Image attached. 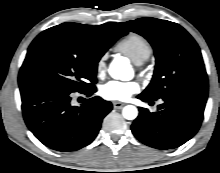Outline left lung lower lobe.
I'll use <instances>...</instances> for the list:
<instances>
[{
    "mask_svg": "<svg viewBox=\"0 0 220 173\" xmlns=\"http://www.w3.org/2000/svg\"><path fill=\"white\" fill-rule=\"evenodd\" d=\"M137 98L144 102L153 101L143 94ZM163 101L157 112L140 108L131 130L139 141L150 147L174 149L197 133L207 98L178 94L163 98Z\"/></svg>",
    "mask_w": 220,
    "mask_h": 173,
    "instance_id": "obj_1",
    "label": "left lung lower lobe"
}]
</instances>
